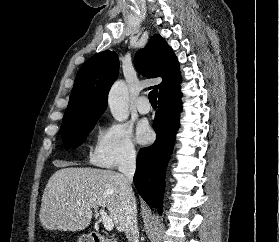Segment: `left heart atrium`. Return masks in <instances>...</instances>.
<instances>
[{
    "instance_id": "1",
    "label": "left heart atrium",
    "mask_w": 279,
    "mask_h": 242,
    "mask_svg": "<svg viewBox=\"0 0 279 242\" xmlns=\"http://www.w3.org/2000/svg\"><path fill=\"white\" fill-rule=\"evenodd\" d=\"M152 137V131L147 120H141L137 124L136 138L139 143H147Z\"/></svg>"
}]
</instances>
